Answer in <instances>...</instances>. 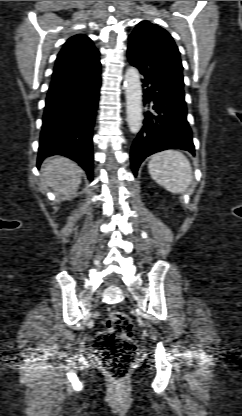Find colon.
<instances>
[{
  "mask_svg": "<svg viewBox=\"0 0 242 416\" xmlns=\"http://www.w3.org/2000/svg\"><path fill=\"white\" fill-rule=\"evenodd\" d=\"M133 330V322L126 313L112 311L108 314L106 328L95 337L94 350L115 380L124 379L137 359Z\"/></svg>",
  "mask_w": 242,
  "mask_h": 416,
  "instance_id": "obj_1",
  "label": "colon"
}]
</instances>
